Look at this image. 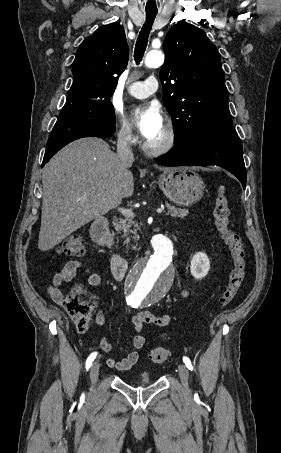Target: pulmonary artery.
Masks as SVG:
<instances>
[{"mask_svg": "<svg viewBox=\"0 0 281 453\" xmlns=\"http://www.w3.org/2000/svg\"><path fill=\"white\" fill-rule=\"evenodd\" d=\"M158 81L155 77H148L145 81H136L129 85L127 92L136 98H144L157 90Z\"/></svg>", "mask_w": 281, "mask_h": 453, "instance_id": "e3ab8cb5", "label": "pulmonary artery"}]
</instances>
